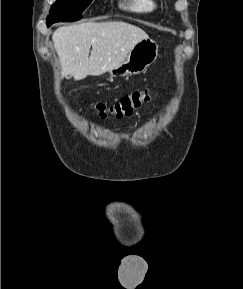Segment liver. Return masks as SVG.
<instances>
[{"label": "liver", "mask_w": 243, "mask_h": 289, "mask_svg": "<svg viewBox=\"0 0 243 289\" xmlns=\"http://www.w3.org/2000/svg\"><path fill=\"white\" fill-rule=\"evenodd\" d=\"M146 38L144 30L122 21L62 26L52 35L62 75L77 81L118 67L134 45Z\"/></svg>", "instance_id": "obj_1"}]
</instances>
